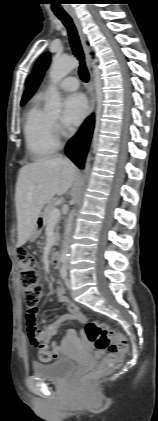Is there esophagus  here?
<instances>
[{"label": "esophagus", "mask_w": 158, "mask_h": 421, "mask_svg": "<svg viewBox=\"0 0 158 421\" xmlns=\"http://www.w3.org/2000/svg\"><path fill=\"white\" fill-rule=\"evenodd\" d=\"M69 15L71 16L77 31H78V35L80 38V42L82 45V49L85 55V60L87 63V68H88V72L90 75V80H89V86H88V90H89V95H90V105H89V111H88V116L92 114L94 108H95V70H94V60L92 58L91 55V48L90 46L87 44V37L83 31L82 25H81V21L79 20V18L77 17L76 13L73 11L69 12Z\"/></svg>", "instance_id": "obj_1"}]
</instances>
